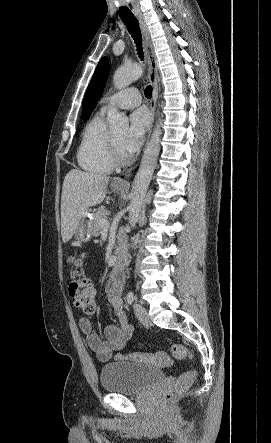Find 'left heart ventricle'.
<instances>
[{
  "label": "left heart ventricle",
  "instance_id": "left-heart-ventricle-1",
  "mask_svg": "<svg viewBox=\"0 0 271 443\" xmlns=\"http://www.w3.org/2000/svg\"><path fill=\"white\" fill-rule=\"evenodd\" d=\"M113 136H114V139L117 142L118 146L121 149V143H122L123 138L125 136V130L117 131V132L113 133Z\"/></svg>",
  "mask_w": 271,
  "mask_h": 443
}]
</instances>
